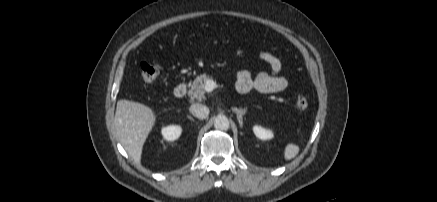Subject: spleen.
<instances>
[{"label": "spleen", "instance_id": "obj_1", "mask_svg": "<svg viewBox=\"0 0 437 202\" xmlns=\"http://www.w3.org/2000/svg\"><path fill=\"white\" fill-rule=\"evenodd\" d=\"M299 153V147L296 144L289 143L286 145L284 150L285 160H291L295 158Z\"/></svg>", "mask_w": 437, "mask_h": 202}]
</instances>
